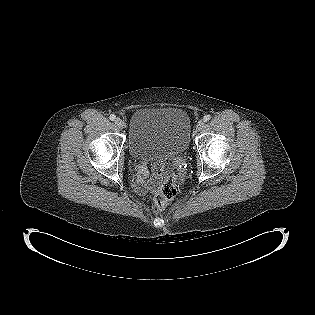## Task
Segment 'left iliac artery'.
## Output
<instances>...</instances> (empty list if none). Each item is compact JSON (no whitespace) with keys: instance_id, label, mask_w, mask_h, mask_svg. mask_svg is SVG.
<instances>
[{"instance_id":"obj_1","label":"left iliac artery","mask_w":315,"mask_h":315,"mask_svg":"<svg viewBox=\"0 0 315 315\" xmlns=\"http://www.w3.org/2000/svg\"><path fill=\"white\" fill-rule=\"evenodd\" d=\"M210 118H211L210 115H205V116L203 117V120H204L205 122H207V121L210 120Z\"/></svg>"}]
</instances>
